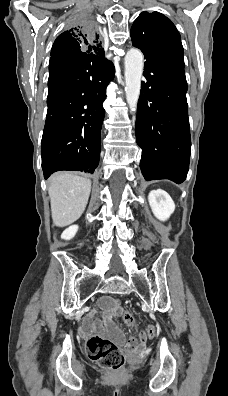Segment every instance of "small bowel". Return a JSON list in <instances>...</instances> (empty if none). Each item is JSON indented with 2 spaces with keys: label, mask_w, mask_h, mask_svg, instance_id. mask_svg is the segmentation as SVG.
Wrapping results in <instances>:
<instances>
[{
  "label": "small bowel",
  "mask_w": 228,
  "mask_h": 396,
  "mask_svg": "<svg viewBox=\"0 0 228 396\" xmlns=\"http://www.w3.org/2000/svg\"><path fill=\"white\" fill-rule=\"evenodd\" d=\"M100 307L103 310V325L97 321L91 323L90 319L83 322L81 332L87 334L92 328H99L106 330L117 341L125 343L129 351H134L136 348H142L146 344V335L141 332L139 339L129 338L126 339L122 332L116 327L115 319L122 314V308L119 303L113 298H104L100 302Z\"/></svg>",
  "instance_id": "obj_1"
}]
</instances>
